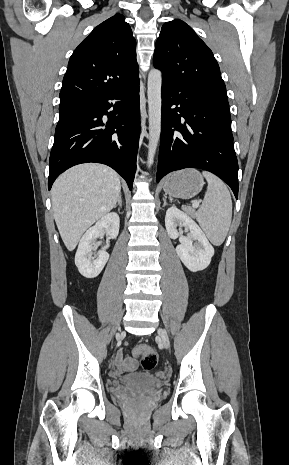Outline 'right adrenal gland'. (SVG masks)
Wrapping results in <instances>:
<instances>
[{
	"label": "right adrenal gland",
	"instance_id": "1",
	"mask_svg": "<svg viewBox=\"0 0 289 465\" xmlns=\"http://www.w3.org/2000/svg\"><path fill=\"white\" fill-rule=\"evenodd\" d=\"M117 206H119V208H122V195L120 194L119 198H118V202L117 204L114 206V208H116Z\"/></svg>",
	"mask_w": 289,
	"mask_h": 465
}]
</instances>
